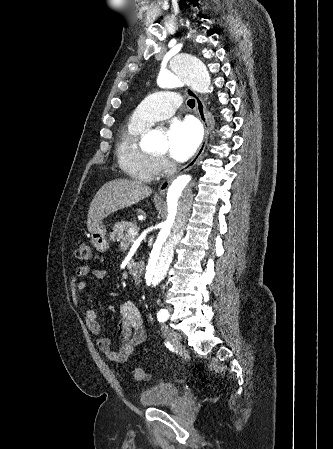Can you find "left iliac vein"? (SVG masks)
Returning <instances> with one entry per match:
<instances>
[{
    "label": "left iliac vein",
    "instance_id": "obj_1",
    "mask_svg": "<svg viewBox=\"0 0 333 449\" xmlns=\"http://www.w3.org/2000/svg\"><path fill=\"white\" fill-rule=\"evenodd\" d=\"M162 332L164 337L171 341L173 344H178L180 342L179 333L171 327L164 325L162 327Z\"/></svg>",
    "mask_w": 333,
    "mask_h": 449
}]
</instances>
